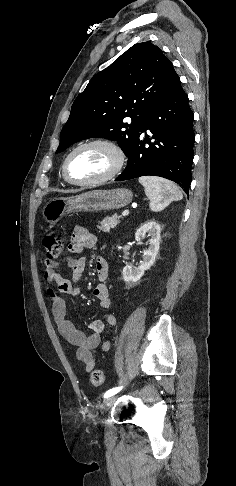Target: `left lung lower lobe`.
Listing matches in <instances>:
<instances>
[{"instance_id":"left-lung-lower-lobe-1","label":"left lung lower lobe","mask_w":236,"mask_h":486,"mask_svg":"<svg viewBox=\"0 0 236 486\" xmlns=\"http://www.w3.org/2000/svg\"><path fill=\"white\" fill-rule=\"evenodd\" d=\"M188 101L178 79L151 110L128 156L127 166L116 181L159 176L179 184L188 194L195 141L194 114ZM146 130L153 133V143Z\"/></svg>"}]
</instances>
